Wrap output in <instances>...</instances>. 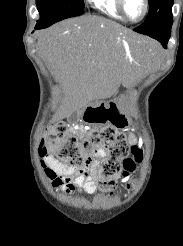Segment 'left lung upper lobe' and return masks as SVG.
<instances>
[{"label":"left lung upper lobe","mask_w":183,"mask_h":246,"mask_svg":"<svg viewBox=\"0 0 183 246\" xmlns=\"http://www.w3.org/2000/svg\"><path fill=\"white\" fill-rule=\"evenodd\" d=\"M149 12L146 20L134 31L149 35L170 29L172 20L173 0H148Z\"/></svg>","instance_id":"5c2ea615"}]
</instances>
